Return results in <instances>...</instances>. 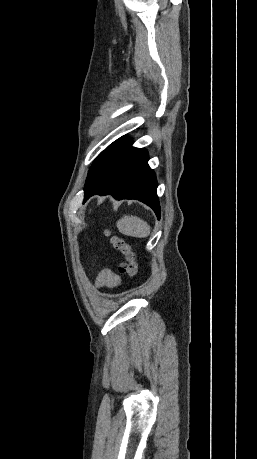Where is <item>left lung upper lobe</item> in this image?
I'll use <instances>...</instances> for the list:
<instances>
[{
    "mask_svg": "<svg viewBox=\"0 0 257 459\" xmlns=\"http://www.w3.org/2000/svg\"><path fill=\"white\" fill-rule=\"evenodd\" d=\"M99 168H100V158L99 156L95 159V161L93 162L89 172H88V176H87V179H86V184H85V188H84V191L85 193L87 192V190L89 189V187L92 185L93 181L95 180L97 174H98V171H99Z\"/></svg>",
    "mask_w": 257,
    "mask_h": 459,
    "instance_id": "5c2ea615",
    "label": "left lung upper lobe"
}]
</instances>
